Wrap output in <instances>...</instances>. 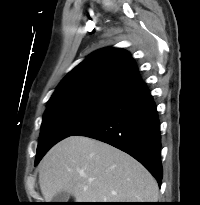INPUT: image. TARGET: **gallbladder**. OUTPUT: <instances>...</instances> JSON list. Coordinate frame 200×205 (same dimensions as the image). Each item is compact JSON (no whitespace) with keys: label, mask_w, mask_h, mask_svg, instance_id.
<instances>
[{"label":"gallbladder","mask_w":200,"mask_h":205,"mask_svg":"<svg viewBox=\"0 0 200 205\" xmlns=\"http://www.w3.org/2000/svg\"><path fill=\"white\" fill-rule=\"evenodd\" d=\"M70 196V193L61 191L53 197V202H67Z\"/></svg>","instance_id":"gallbladder-1"}]
</instances>
